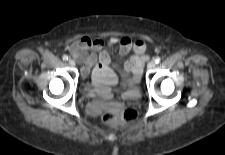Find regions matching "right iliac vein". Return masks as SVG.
I'll return each instance as SVG.
<instances>
[{"instance_id":"63e3f726","label":"right iliac vein","mask_w":225,"mask_h":155,"mask_svg":"<svg viewBox=\"0 0 225 155\" xmlns=\"http://www.w3.org/2000/svg\"><path fill=\"white\" fill-rule=\"evenodd\" d=\"M68 63H69L70 66H75L76 65V63H75V61L73 59H69Z\"/></svg>"}]
</instances>
